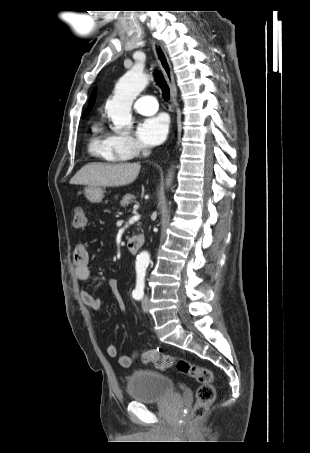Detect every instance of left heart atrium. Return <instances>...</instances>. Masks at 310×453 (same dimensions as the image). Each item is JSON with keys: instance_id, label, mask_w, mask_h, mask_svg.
Returning a JSON list of instances; mask_svg holds the SVG:
<instances>
[{"instance_id": "39dd6f15", "label": "left heart atrium", "mask_w": 310, "mask_h": 453, "mask_svg": "<svg viewBox=\"0 0 310 453\" xmlns=\"http://www.w3.org/2000/svg\"><path fill=\"white\" fill-rule=\"evenodd\" d=\"M168 129V117L160 114L144 119L137 128V136L145 145L153 146L165 139Z\"/></svg>"}]
</instances>
